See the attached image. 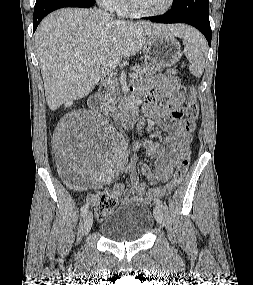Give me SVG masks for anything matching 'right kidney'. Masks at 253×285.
I'll list each match as a JSON object with an SVG mask.
<instances>
[{"instance_id": "1", "label": "right kidney", "mask_w": 253, "mask_h": 285, "mask_svg": "<svg viewBox=\"0 0 253 285\" xmlns=\"http://www.w3.org/2000/svg\"><path fill=\"white\" fill-rule=\"evenodd\" d=\"M72 102H70V103H67L66 105H70Z\"/></svg>"}]
</instances>
